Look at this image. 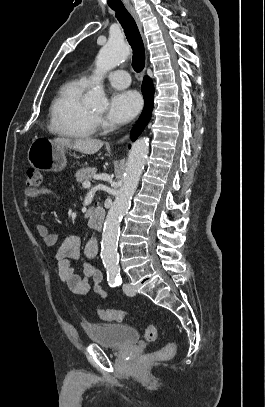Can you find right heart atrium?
I'll list each match as a JSON object with an SVG mask.
<instances>
[{"label":"right heart atrium","mask_w":265,"mask_h":407,"mask_svg":"<svg viewBox=\"0 0 265 407\" xmlns=\"http://www.w3.org/2000/svg\"><path fill=\"white\" fill-rule=\"evenodd\" d=\"M98 123H102V120H101V119H98Z\"/></svg>","instance_id":"obj_1"}]
</instances>
